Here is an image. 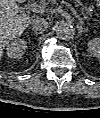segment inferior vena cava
<instances>
[{"mask_svg": "<svg viewBox=\"0 0 100 118\" xmlns=\"http://www.w3.org/2000/svg\"><path fill=\"white\" fill-rule=\"evenodd\" d=\"M31 25L34 30L39 31V32H43L48 28L47 20L44 18H39V17L32 19Z\"/></svg>", "mask_w": 100, "mask_h": 118, "instance_id": "inferior-vena-cava-1", "label": "inferior vena cava"}]
</instances>
